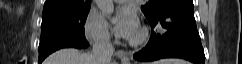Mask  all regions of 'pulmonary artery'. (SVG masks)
Segmentation results:
<instances>
[{"label": "pulmonary artery", "instance_id": "e3ab8cb5", "mask_svg": "<svg viewBox=\"0 0 242 64\" xmlns=\"http://www.w3.org/2000/svg\"><path fill=\"white\" fill-rule=\"evenodd\" d=\"M115 2H117V3H124V2H127V0H115Z\"/></svg>", "mask_w": 242, "mask_h": 64}]
</instances>
